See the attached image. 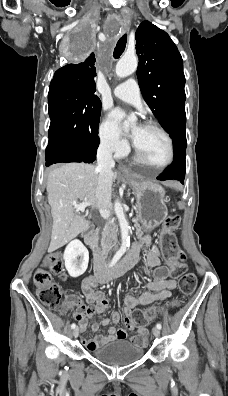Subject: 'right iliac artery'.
Instances as JSON below:
<instances>
[{
    "mask_svg": "<svg viewBox=\"0 0 228 396\" xmlns=\"http://www.w3.org/2000/svg\"><path fill=\"white\" fill-rule=\"evenodd\" d=\"M123 253H124L123 251H118L116 253V255L113 257L112 261L109 264V268L113 267L116 264V262L120 259V257L123 255ZM75 327H76V324L73 323L71 325V328L74 329Z\"/></svg>",
    "mask_w": 228,
    "mask_h": 396,
    "instance_id": "right-iliac-artery-1",
    "label": "right iliac artery"
}]
</instances>
